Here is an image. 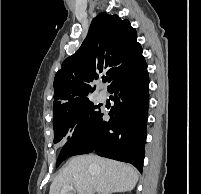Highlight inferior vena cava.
Masks as SVG:
<instances>
[{
	"label": "inferior vena cava",
	"mask_w": 201,
	"mask_h": 194,
	"mask_svg": "<svg viewBox=\"0 0 201 194\" xmlns=\"http://www.w3.org/2000/svg\"><path fill=\"white\" fill-rule=\"evenodd\" d=\"M88 194H94V190L91 188L88 192Z\"/></svg>",
	"instance_id": "602c4592"
}]
</instances>
